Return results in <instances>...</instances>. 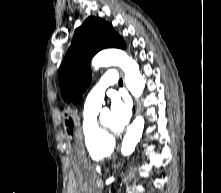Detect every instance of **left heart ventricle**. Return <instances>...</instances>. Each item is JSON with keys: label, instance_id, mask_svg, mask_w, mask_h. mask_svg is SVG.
<instances>
[{"label": "left heart ventricle", "instance_id": "left-heart-ventricle-1", "mask_svg": "<svg viewBox=\"0 0 221 193\" xmlns=\"http://www.w3.org/2000/svg\"><path fill=\"white\" fill-rule=\"evenodd\" d=\"M102 122H103V124H104L107 128H109V129H111V130H116V129H115V126H114V123H113V119H112L111 113L105 114V115L102 117Z\"/></svg>", "mask_w": 221, "mask_h": 193}]
</instances>
